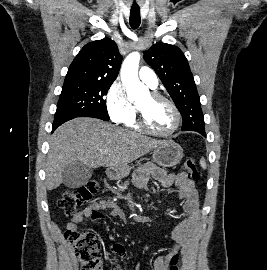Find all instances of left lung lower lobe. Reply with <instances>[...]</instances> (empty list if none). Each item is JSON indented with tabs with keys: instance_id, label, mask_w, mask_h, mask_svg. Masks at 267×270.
<instances>
[{
	"instance_id": "left-lung-lower-lobe-1",
	"label": "left lung lower lobe",
	"mask_w": 267,
	"mask_h": 270,
	"mask_svg": "<svg viewBox=\"0 0 267 270\" xmlns=\"http://www.w3.org/2000/svg\"><path fill=\"white\" fill-rule=\"evenodd\" d=\"M200 134H202L203 136H206V133L205 132H200Z\"/></svg>"
}]
</instances>
